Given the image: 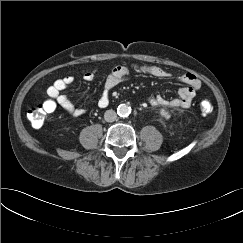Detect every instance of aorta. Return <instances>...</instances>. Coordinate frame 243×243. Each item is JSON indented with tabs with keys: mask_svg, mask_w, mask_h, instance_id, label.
I'll use <instances>...</instances> for the list:
<instances>
[{
	"mask_svg": "<svg viewBox=\"0 0 243 243\" xmlns=\"http://www.w3.org/2000/svg\"><path fill=\"white\" fill-rule=\"evenodd\" d=\"M117 113L121 117H127L131 113V107L127 104H120L117 108Z\"/></svg>",
	"mask_w": 243,
	"mask_h": 243,
	"instance_id": "762f6f07",
	"label": "aorta"
}]
</instances>
